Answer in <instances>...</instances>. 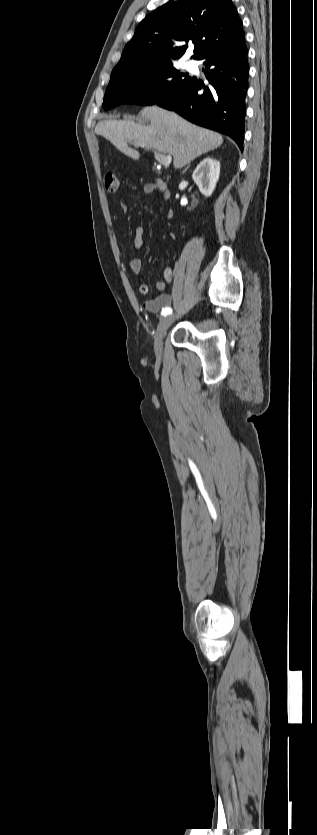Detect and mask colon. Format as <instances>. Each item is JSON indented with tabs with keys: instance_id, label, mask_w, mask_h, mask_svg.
I'll use <instances>...</instances> for the list:
<instances>
[{
	"instance_id": "obj_1",
	"label": "colon",
	"mask_w": 317,
	"mask_h": 835,
	"mask_svg": "<svg viewBox=\"0 0 317 835\" xmlns=\"http://www.w3.org/2000/svg\"><path fill=\"white\" fill-rule=\"evenodd\" d=\"M105 187L108 192H116L119 187V180L116 174L107 173L104 178Z\"/></svg>"
}]
</instances>
